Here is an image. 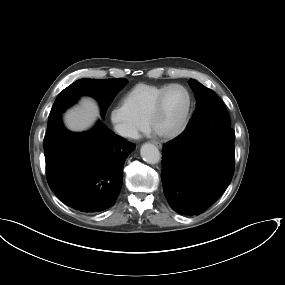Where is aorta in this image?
<instances>
[{
	"label": "aorta",
	"instance_id": "762f6f07",
	"mask_svg": "<svg viewBox=\"0 0 285 285\" xmlns=\"http://www.w3.org/2000/svg\"><path fill=\"white\" fill-rule=\"evenodd\" d=\"M140 155L148 164H156L161 159L158 148L151 143H145L141 146Z\"/></svg>",
	"mask_w": 285,
	"mask_h": 285
}]
</instances>
